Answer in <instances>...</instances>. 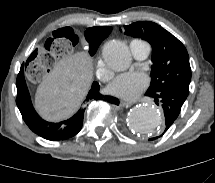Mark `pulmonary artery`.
<instances>
[{
	"instance_id": "e3ab8cb5",
	"label": "pulmonary artery",
	"mask_w": 215,
	"mask_h": 183,
	"mask_svg": "<svg viewBox=\"0 0 215 183\" xmlns=\"http://www.w3.org/2000/svg\"><path fill=\"white\" fill-rule=\"evenodd\" d=\"M129 47L133 57L137 60L146 59L151 52L150 44L142 40L131 41Z\"/></svg>"
}]
</instances>
